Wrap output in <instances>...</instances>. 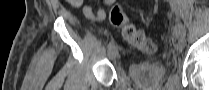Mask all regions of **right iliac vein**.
Returning <instances> with one entry per match:
<instances>
[{"label": "right iliac vein", "mask_w": 209, "mask_h": 90, "mask_svg": "<svg viewBox=\"0 0 209 90\" xmlns=\"http://www.w3.org/2000/svg\"><path fill=\"white\" fill-rule=\"evenodd\" d=\"M108 56L111 60H115L118 56V49L117 47H113L109 53H108Z\"/></svg>", "instance_id": "obj_1"}]
</instances>
